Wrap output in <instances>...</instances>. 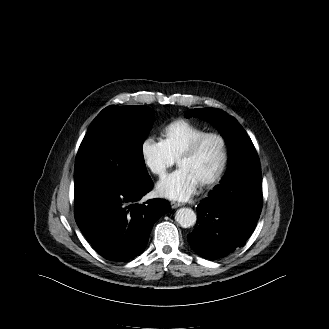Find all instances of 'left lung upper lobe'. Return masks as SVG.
Instances as JSON below:
<instances>
[{"label":"left lung upper lobe","mask_w":329,"mask_h":329,"mask_svg":"<svg viewBox=\"0 0 329 329\" xmlns=\"http://www.w3.org/2000/svg\"><path fill=\"white\" fill-rule=\"evenodd\" d=\"M193 116L210 121L217 126L229 146L230 156L226 175L220 185L216 186L209 195V197L217 199L222 197L224 190L221 186L224 185L226 179L233 178L231 176L236 171L246 170L250 163L259 160V158L247 132L236 119L224 111L216 108H200L186 113L187 118Z\"/></svg>","instance_id":"left-lung-upper-lobe-1"}]
</instances>
